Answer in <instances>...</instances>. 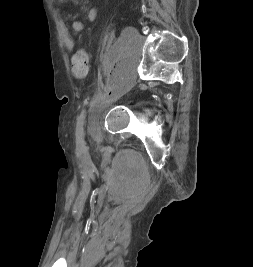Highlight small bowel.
<instances>
[{
	"mask_svg": "<svg viewBox=\"0 0 253 267\" xmlns=\"http://www.w3.org/2000/svg\"><path fill=\"white\" fill-rule=\"evenodd\" d=\"M61 1V0H59ZM87 19L91 22H93L96 17H97V11L95 8H88L87 12ZM59 27H60V34H61V39L62 42L64 44V46L68 49V50H72L75 46V42L74 39L67 27V25L65 24V22L60 19L59 21ZM71 29L77 33L80 34L85 30V25L83 22L79 21V20H73L71 22Z\"/></svg>",
	"mask_w": 253,
	"mask_h": 267,
	"instance_id": "1",
	"label": "small bowel"
}]
</instances>
